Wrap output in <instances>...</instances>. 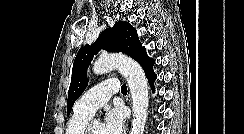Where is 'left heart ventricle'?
<instances>
[{
    "label": "left heart ventricle",
    "mask_w": 244,
    "mask_h": 134,
    "mask_svg": "<svg viewBox=\"0 0 244 134\" xmlns=\"http://www.w3.org/2000/svg\"><path fill=\"white\" fill-rule=\"evenodd\" d=\"M92 134H103V125L100 122H93Z\"/></svg>",
    "instance_id": "obj_1"
}]
</instances>
